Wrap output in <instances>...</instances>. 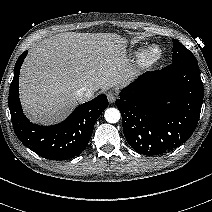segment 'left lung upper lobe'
<instances>
[{
    "instance_id": "obj_1",
    "label": "left lung upper lobe",
    "mask_w": 212,
    "mask_h": 212,
    "mask_svg": "<svg viewBox=\"0 0 212 212\" xmlns=\"http://www.w3.org/2000/svg\"><path fill=\"white\" fill-rule=\"evenodd\" d=\"M173 42V54L172 63H184V62H195L196 58L190 50L184 47L179 41L172 39Z\"/></svg>"
}]
</instances>
